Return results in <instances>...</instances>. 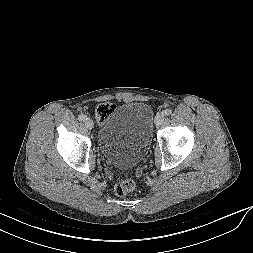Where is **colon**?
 <instances>
[{
	"mask_svg": "<svg viewBox=\"0 0 253 253\" xmlns=\"http://www.w3.org/2000/svg\"><path fill=\"white\" fill-rule=\"evenodd\" d=\"M114 111V105L110 103H103L96 108L95 116L103 122L110 117ZM135 188V182L132 179H123L115 184L113 190L117 196H125L132 192Z\"/></svg>",
	"mask_w": 253,
	"mask_h": 253,
	"instance_id": "1",
	"label": "colon"
}]
</instances>
